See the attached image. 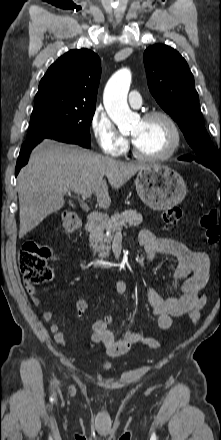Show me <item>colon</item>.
Returning a JSON list of instances; mask_svg holds the SVG:
<instances>
[{"mask_svg": "<svg viewBox=\"0 0 221 440\" xmlns=\"http://www.w3.org/2000/svg\"><path fill=\"white\" fill-rule=\"evenodd\" d=\"M162 219L167 225H178L183 219V212L178 207H171L162 214ZM62 229L65 232H73L81 226L80 217L73 212H65L61 220ZM201 226L205 230V238L211 247L221 246V221L217 223L211 214L205 215L201 219ZM51 257V249L34 240L26 241L18 254V266L22 272L25 282L35 286L51 280L53 272L48 266ZM88 309L85 300L76 303V311L79 315L84 314ZM104 324H113L112 313L107 312L103 317Z\"/></svg>", "mask_w": 221, "mask_h": 440, "instance_id": "1", "label": "colon"}]
</instances>
